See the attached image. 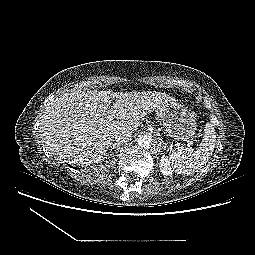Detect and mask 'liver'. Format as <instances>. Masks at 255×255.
I'll use <instances>...</instances> for the list:
<instances>
[{"label": "liver", "instance_id": "obj_1", "mask_svg": "<svg viewBox=\"0 0 255 255\" xmlns=\"http://www.w3.org/2000/svg\"><path fill=\"white\" fill-rule=\"evenodd\" d=\"M172 100L173 97L157 91L67 92L44 111L40 137L55 158L81 165L97 163L112 146L118 131H137L144 116ZM108 116L116 120L110 121Z\"/></svg>", "mask_w": 255, "mask_h": 255}]
</instances>
